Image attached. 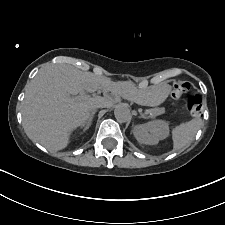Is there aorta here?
I'll list each match as a JSON object with an SVG mask.
<instances>
[{
    "label": "aorta",
    "mask_w": 225,
    "mask_h": 225,
    "mask_svg": "<svg viewBox=\"0 0 225 225\" xmlns=\"http://www.w3.org/2000/svg\"><path fill=\"white\" fill-rule=\"evenodd\" d=\"M114 115L117 121L121 123H126L131 120L130 109L124 104H119L115 107Z\"/></svg>",
    "instance_id": "aorta-1"
}]
</instances>
